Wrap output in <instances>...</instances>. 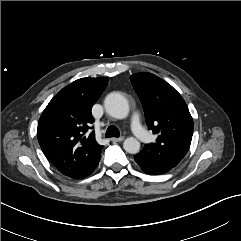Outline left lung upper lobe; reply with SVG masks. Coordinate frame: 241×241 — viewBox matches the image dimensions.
Masks as SVG:
<instances>
[{
  "mask_svg": "<svg viewBox=\"0 0 241 241\" xmlns=\"http://www.w3.org/2000/svg\"><path fill=\"white\" fill-rule=\"evenodd\" d=\"M131 83L139 96L146 122L157 134L155 143L146 144L135 161L141 168L171 170L189 150L193 120L181 95L163 79L146 72L133 74Z\"/></svg>",
  "mask_w": 241,
  "mask_h": 241,
  "instance_id": "1",
  "label": "left lung upper lobe"
}]
</instances>
